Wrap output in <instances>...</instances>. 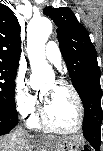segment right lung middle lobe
Returning <instances> with one entry per match:
<instances>
[{
    "label": "right lung middle lobe",
    "instance_id": "dd1d6c3e",
    "mask_svg": "<svg viewBox=\"0 0 103 151\" xmlns=\"http://www.w3.org/2000/svg\"><path fill=\"white\" fill-rule=\"evenodd\" d=\"M18 64L0 63V109L17 116L14 101L15 77Z\"/></svg>",
    "mask_w": 103,
    "mask_h": 151
}]
</instances>
